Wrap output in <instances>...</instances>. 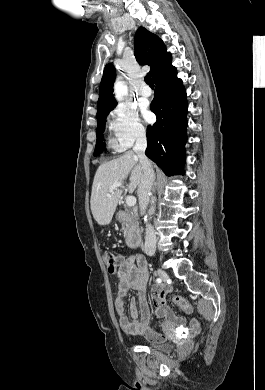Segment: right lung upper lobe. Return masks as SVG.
I'll use <instances>...</instances> for the list:
<instances>
[{
    "label": "right lung upper lobe",
    "instance_id": "obj_1",
    "mask_svg": "<svg viewBox=\"0 0 265 390\" xmlns=\"http://www.w3.org/2000/svg\"><path fill=\"white\" fill-rule=\"evenodd\" d=\"M135 57L142 65L150 66V74L155 80L158 75L169 69L171 54L166 51L163 41L144 27H139L135 34ZM116 71L112 64H107L99 88L97 118L111 111L117 102L113 96V83Z\"/></svg>",
    "mask_w": 265,
    "mask_h": 390
}]
</instances>
